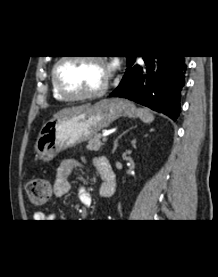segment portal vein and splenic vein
Segmentation results:
<instances>
[{
  "instance_id": "1",
  "label": "portal vein and splenic vein",
  "mask_w": 218,
  "mask_h": 277,
  "mask_svg": "<svg viewBox=\"0 0 218 277\" xmlns=\"http://www.w3.org/2000/svg\"><path fill=\"white\" fill-rule=\"evenodd\" d=\"M108 138L107 137H103L102 141L103 142H107Z\"/></svg>"
}]
</instances>
